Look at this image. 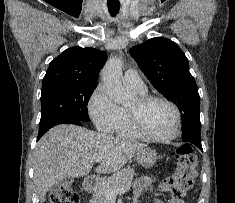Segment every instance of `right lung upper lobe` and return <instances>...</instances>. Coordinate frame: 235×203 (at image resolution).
<instances>
[{"mask_svg":"<svg viewBox=\"0 0 235 203\" xmlns=\"http://www.w3.org/2000/svg\"><path fill=\"white\" fill-rule=\"evenodd\" d=\"M106 59V53L98 49L69 48L50 62L42 87L59 83L97 84Z\"/></svg>","mask_w":235,"mask_h":203,"instance_id":"1","label":"right lung upper lobe"}]
</instances>
